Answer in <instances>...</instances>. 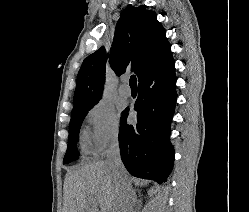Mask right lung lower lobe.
I'll list each match as a JSON object with an SVG mask.
<instances>
[{"mask_svg":"<svg viewBox=\"0 0 249 212\" xmlns=\"http://www.w3.org/2000/svg\"><path fill=\"white\" fill-rule=\"evenodd\" d=\"M175 62L172 54L139 80L134 110L137 124H126L129 108L120 122L119 145L128 172L139 178L165 182L173 167L169 141L176 104Z\"/></svg>","mask_w":249,"mask_h":212,"instance_id":"1","label":"right lung lower lobe"}]
</instances>
